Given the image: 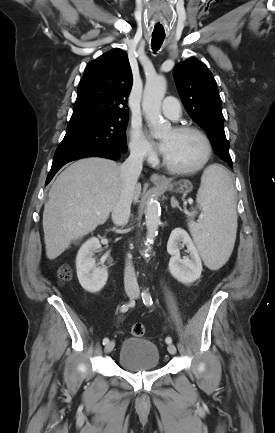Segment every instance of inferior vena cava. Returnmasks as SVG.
Wrapping results in <instances>:
<instances>
[{
    "label": "inferior vena cava",
    "instance_id": "1",
    "mask_svg": "<svg viewBox=\"0 0 275 433\" xmlns=\"http://www.w3.org/2000/svg\"><path fill=\"white\" fill-rule=\"evenodd\" d=\"M144 153L141 150H131L130 156L120 166L123 186L120 196L112 210V221L117 226L127 224L130 217V208L133 200V193L138 177L142 171ZM124 286L127 292H138L139 287L135 275L131 256L128 257L124 271Z\"/></svg>",
    "mask_w": 275,
    "mask_h": 433
}]
</instances>
